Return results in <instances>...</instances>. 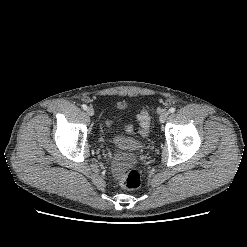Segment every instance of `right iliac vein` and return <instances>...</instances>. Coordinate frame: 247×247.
<instances>
[{
	"label": "right iliac vein",
	"instance_id": "obj_1",
	"mask_svg": "<svg viewBox=\"0 0 247 247\" xmlns=\"http://www.w3.org/2000/svg\"><path fill=\"white\" fill-rule=\"evenodd\" d=\"M86 113H87V115H89V116H93V115H94V109H93L92 107H88V108L86 109Z\"/></svg>",
	"mask_w": 247,
	"mask_h": 247
}]
</instances>
